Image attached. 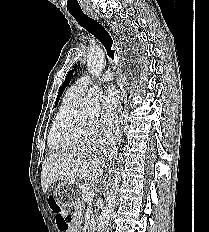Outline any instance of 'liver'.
Wrapping results in <instances>:
<instances>
[{"label":"liver","mask_w":209,"mask_h":232,"mask_svg":"<svg viewBox=\"0 0 209 232\" xmlns=\"http://www.w3.org/2000/svg\"><path fill=\"white\" fill-rule=\"evenodd\" d=\"M115 150V140L94 139L51 153L42 166L43 193L57 181L71 185L78 184L82 179L90 185L99 183Z\"/></svg>","instance_id":"1"}]
</instances>
